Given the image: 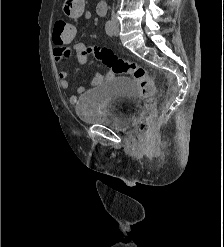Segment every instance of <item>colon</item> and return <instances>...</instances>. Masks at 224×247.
<instances>
[{
  "label": "colon",
  "instance_id": "5ec220e1",
  "mask_svg": "<svg viewBox=\"0 0 224 247\" xmlns=\"http://www.w3.org/2000/svg\"><path fill=\"white\" fill-rule=\"evenodd\" d=\"M77 35V28L72 23L65 20H57L53 28L54 40L60 42H71ZM93 54L94 57L112 70L115 74H128L137 83L142 96L145 98V110L142 117L136 125L139 133L147 131L150 121L154 114V94L155 86L152 78L147 71L135 62H131L118 57L111 49L105 47H89L85 48L81 56L85 57Z\"/></svg>",
  "mask_w": 224,
  "mask_h": 247
}]
</instances>
